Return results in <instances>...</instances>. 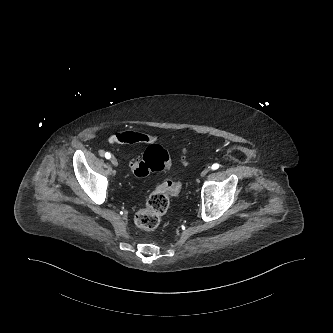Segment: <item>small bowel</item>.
<instances>
[{
  "instance_id": "obj_1",
  "label": "small bowel",
  "mask_w": 333,
  "mask_h": 333,
  "mask_svg": "<svg viewBox=\"0 0 333 333\" xmlns=\"http://www.w3.org/2000/svg\"><path fill=\"white\" fill-rule=\"evenodd\" d=\"M111 141L117 144H154L158 142L156 135L134 132V131H123L116 133L111 137Z\"/></svg>"
}]
</instances>
